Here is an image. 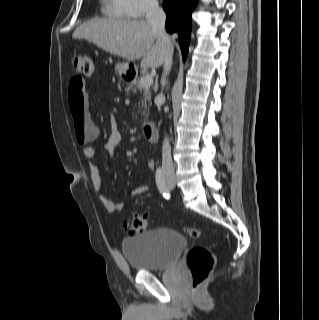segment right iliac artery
Wrapping results in <instances>:
<instances>
[{
    "label": "right iliac artery",
    "instance_id": "82829eb1",
    "mask_svg": "<svg viewBox=\"0 0 319 320\" xmlns=\"http://www.w3.org/2000/svg\"><path fill=\"white\" fill-rule=\"evenodd\" d=\"M156 183H157V187L160 191V193L166 198L169 199L170 197V190L169 188L166 186L165 183V179L163 176V172L161 169H157L156 171Z\"/></svg>",
    "mask_w": 319,
    "mask_h": 320
}]
</instances>
